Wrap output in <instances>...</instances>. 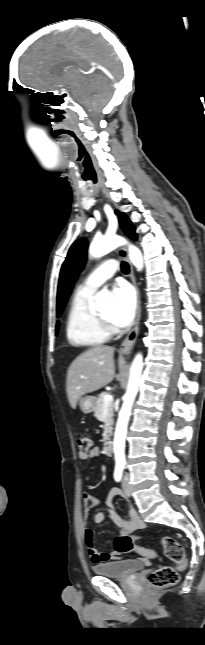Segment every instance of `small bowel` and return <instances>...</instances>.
<instances>
[{
	"label": "small bowel",
	"instance_id": "c3829d8e",
	"mask_svg": "<svg viewBox=\"0 0 205 645\" xmlns=\"http://www.w3.org/2000/svg\"><path fill=\"white\" fill-rule=\"evenodd\" d=\"M100 455V449L98 447H92L86 453L79 452L78 458L80 461H86L91 458H97ZM117 496L124 498V495L119 488H112L108 492L104 501L105 507L100 509L94 515V523L99 525L106 517H108L119 529L120 535L133 536L134 532L142 530L145 527V523L130 503H128L127 517L123 516L114 505V498ZM82 501L85 513L101 503V499L99 497L88 492H84L82 494ZM84 542L89 557L94 564L113 561L118 559L120 556V553L116 552L115 549L112 552H100L97 550L93 542V530L90 527H86L84 530ZM141 560L145 564L150 562L149 558L142 557Z\"/></svg>",
	"mask_w": 205,
	"mask_h": 645
}]
</instances>
